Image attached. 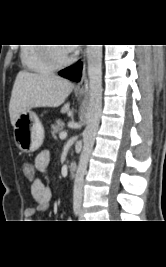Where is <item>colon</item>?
<instances>
[{
  "instance_id": "colon-1",
  "label": "colon",
  "mask_w": 166,
  "mask_h": 267,
  "mask_svg": "<svg viewBox=\"0 0 166 267\" xmlns=\"http://www.w3.org/2000/svg\"><path fill=\"white\" fill-rule=\"evenodd\" d=\"M23 172L22 178H35V173H33V166L31 164H24Z\"/></svg>"
}]
</instances>
